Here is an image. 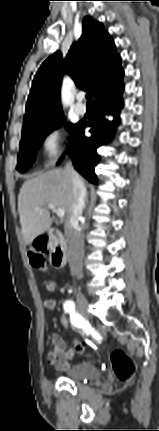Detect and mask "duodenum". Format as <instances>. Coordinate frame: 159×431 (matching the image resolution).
<instances>
[{
    "label": "duodenum",
    "instance_id": "obj_1",
    "mask_svg": "<svg viewBox=\"0 0 159 431\" xmlns=\"http://www.w3.org/2000/svg\"><path fill=\"white\" fill-rule=\"evenodd\" d=\"M40 241L45 244L50 242L52 245L51 263L55 268H61L65 265L67 257V246L62 233L55 229L50 228L46 234L40 237Z\"/></svg>",
    "mask_w": 159,
    "mask_h": 431
}]
</instances>
